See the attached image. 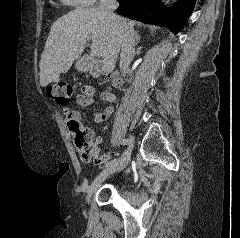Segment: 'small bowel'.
<instances>
[{
    "instance_id": "small-bowel-1",
    "label": "small bowel",
    "mask_w": 240,
    "mask_h": 238,
    "mask_svg": "<svg viewBox=\"0 0 240 238\" xmlns=\"http://www.w3.org/2000/svg\"><path fill=\"white\" fill-rule=\"evenodd\" d=\"M94 89L91 86L84 85L81 87L80 92L76 94V101L79 105L81 106H89L93 103L94 101ZM100 100L105 101V102H113L115 100V97L109 93H101L100 94ZM114 107L113 106H108L104 112H99L96 113L93 118L92 122L94 124H101L107 118L113 113ZM63 115L65 119L69 122L70 120H77L80 122L81 120V115L77 111H73L69 108H64L63 109ZM102 142L101 137H96L95 138V144L96 146L93 148V160H94V166H101V162H103V159H107L108 162H112L113 159L117 158L116 154H102L100 157V144ZM130 167V166H129ZM119 175H126V173H130L129 171L126 172V170H119Z\"/></svg>"
}]
</instances>
